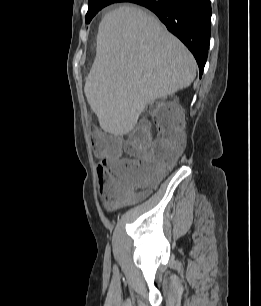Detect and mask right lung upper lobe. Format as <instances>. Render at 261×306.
<instances>
[{"mask_svg": "<svg viewBox=\"0 0 261 306\" xmlns=\"http://www.w3.org/2000/svg\"><path fill=\"white\" fill-rule=\"evenodd\" d=\"M89 2H92V1H121V2H129L131 0H88Z\"/></svg>", "mask_w": 261, "mask_h": 306, "instance_id": "obj_1", "label": "right lung upper lobe"}]
</instances>
